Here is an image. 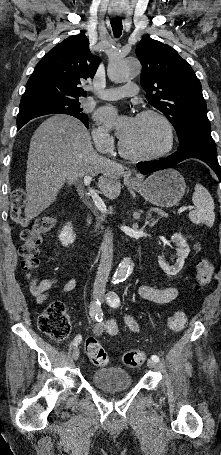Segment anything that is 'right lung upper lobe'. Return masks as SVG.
I'll return each instance as SVG.
<instances>
[{
	"label": "right lung upper lobe",
	"instance_id": "obj_1",
	"mask_svg": "<svg viewBox=\"0 0 221 455\" xmlns=\"http://www.w3.org/2000/svg\"><path fill=\"white\" fill-rule=\"evenodd\" d=\"M99 63L100 58L89 51L84 33L70 36L37 64L19 107L85 97L81 85L95 75Z\"/></svg>",
	"mask_w": 221,
	"mask_h": 455
}]
</instances>
